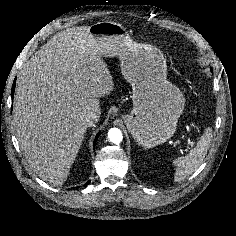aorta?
<instances>
[{"label": "aorta", "mask_w": 236, "mask_h": 236, "mask_svg": "<svg viewBox=\"0 0 236 236\" xmlns=\"http://www.w3.org/2000/svg\"><path fill=\"white\" fill-rule=\"evenodd\" d=\"M108 138L114 144H119L123 139V134L118 128H111L108 131Z\"/></svg>", "instance_id": "aorta-1"}]
</instances>
